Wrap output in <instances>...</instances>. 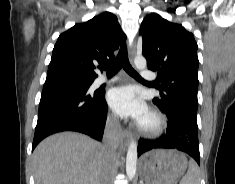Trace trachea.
I'll list each match as a JSON object with an SVG mask.
<instances>
[{
	"mask_svg": "<svg viewBox=\"0 0 235 184\" xmlns=\"http://www.w3.org/2000/svg\"><path fill=\"white\" fill-rule=\"evenodd\" d=\"M121 67H123V69L128 72L131 77H134V79L144 81V79H142V77L130 65L126 45L121 47L116 59L113 60V62H111L109 65H105L103 68L106 70L107 76L112 77L113 75L117 74V72H119Z\"/></svg>",
	"mask_w": 235,
	"mask_h": 184,
	"instance_id": "3493384b",
	"label": "trachea"
}]
</instances>
